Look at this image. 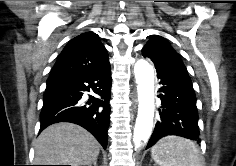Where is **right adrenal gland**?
<instances>
[{
    "instance_id": "2a0ac1e0",
    "label": "right adrenal gland",
    "mask_w": 236,
    "mask_h": 166,
    "mask_svg": "<svg viewBox=\"0 0 236 166\" xmlns=\"http://www.w3.org/2000/svg\"><path fill=\"white\" fill-rule=\"evenodd\" d=\"M89 166H92V165H89ZM93 166H97V160L93 162Z\"/></svg>"
}]
</instances>
